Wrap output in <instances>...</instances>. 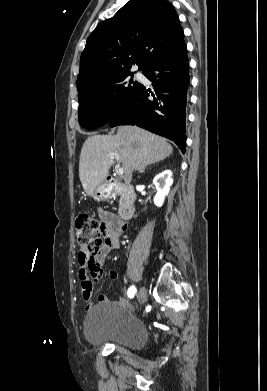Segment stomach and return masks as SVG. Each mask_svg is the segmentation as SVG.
<instances>
[{
  "label": "stomach",
  "mask_w": 267,
  "mask_h": 391,
  "mask_svg": "<svg viewBox=\"0 0 267 391\" xmlns=\"http://www.w3.org/2000/svg\"><path fill=\"white\" fill-rule=\"evenodd\" d=\"M112 187L107 182L101 183L93 192V197L97 200H104L111 196Z\"/></svg>",
  "instance_id": "1"
}]
</instances>
